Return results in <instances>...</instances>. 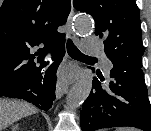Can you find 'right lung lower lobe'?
Returning a JSON list of instances; mask_svg holds the SVG:
<instances>
[{
    "label": "right lung lower lobe",
    "mask_w": 151,
    "mask_h": 131,
    "mask_svg": "<svg viewBox=\"0 0 151 131\" xmlns=\"http://www.w3.org/2000/svg\"><path fill=\"white\" fill-rule=\"evenodd\" d=\"M53 53L55 61L45 75L41 74V69L46 65L44 63L33 75L0 90V96L23 99L44 111L49 110L55 100L56 71L65 54L64 43L55 46Z\"/></svg>",
    "instance_id": "right-lung-lower-lobe-1"
}]
</instances>
